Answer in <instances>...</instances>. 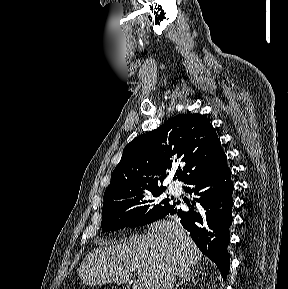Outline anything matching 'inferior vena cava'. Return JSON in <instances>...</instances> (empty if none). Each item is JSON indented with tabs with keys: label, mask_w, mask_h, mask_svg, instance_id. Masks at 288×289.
I'll list each match as a JSON object with an SVG mask.
<instances>
[{
	"label": "inferior vena cava",
	"mask_w": 288,
	"mask_h": 289,
	"mask_svg": "<svg viewBox=\"0 0 288 289\" xmlns=\"http://www.w3.org/2000/svg\"><path fill=\"white\" fill-rule=\"evenodd\" d=\"M176 278L173 273H169L166 275L165 280L162 283V289H173V283L175 282Z\"/></svg>",
	"instance_id": "602c4592"
}]
</instances>
